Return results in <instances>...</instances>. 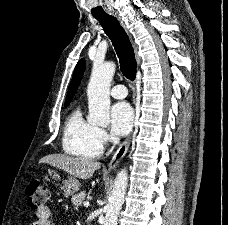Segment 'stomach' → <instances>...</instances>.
Returning a JSON list of instances; mask_svg holds the SVG:
<instances>
[{
    "instance_id": "obj_1",
    "label": "stomach",
    "mask_w": 228,
    "mask_h": 225,
    "mask_svg": "<svg viewBox=\"0 0 228 225\" xmlns=\"http://www.w3.org/2000/svg\"><path fill=\"white\" fill-rule=\"evenodd\" d=\"M49 181H54V183H57V181H61V177H59L56 171H50ZM59 185L60 189L63 191L64 197H71V195H75V193L80 191V183L77 181V179H74V177H68L67 181H62V183H59Z\"/></svg>"
}]
</instances>
